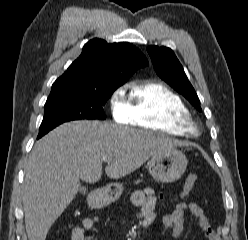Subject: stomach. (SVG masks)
<instances>
[{
    "label": "stomach",
    "instance_id": "0dacf381",
    "mask_svg": "<svg viewBox=\"0 0 248 240\" xmlns=\"http://www.w3.org/2000/svg\"><path fill=\"white\" fill-rule=\"evenodd\" d=\"M185 154L177 149L158 153L149 161V172L152 177L162 183H171L178 180L187 167ZM123 186L119 183L109 184L103 191L101 201L111 203L119 199Z\"/></svg>",
    "mask_w": 248,
    "mask_h": 240
}]
</instances>
